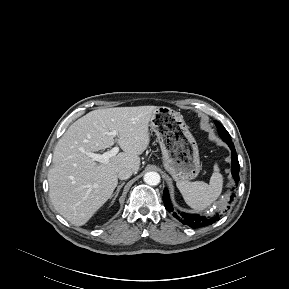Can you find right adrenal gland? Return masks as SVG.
I'll return each mask as SVG.
<instances>
[{"instance_id": "right-adrenal-gland-1", "label": "right adrenal gland", "mask_w": 289, "mask_h": 289, "mask_svg": "<svg viewBox=\"0 0 289 289\" xmlns=\"http://www.w3.org/2000/svg\"><path fill=\"white\" fill-rule=\"evenodd\" d=\"M124 184H125V182H122L120 185L117 186L116 191H115L114 194L111 196V197H113V199H112V201H111V204H113V203L115 202V200H116V198H117V196H118V194H119V191H120V189L124 186Z\"/></svg>"}]
</instances>
